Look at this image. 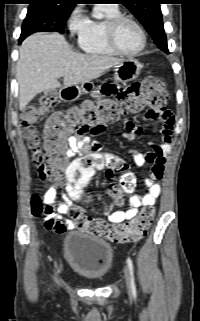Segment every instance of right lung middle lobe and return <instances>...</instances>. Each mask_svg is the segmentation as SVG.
I'll return each instance as SVG.
<instances>
[{"label": "right lung middle lobe", "mask_w": 200, "mask_h": 321, "mask_svg": "<svg viewBox=\"0 0 200 321\" xmlns=\"http://www.w3.org/2000/svg\"><path fill=\"white\" fill-rule=\"evenodd\" d=\"M72 10L58 9L49 5L33 4L28 8L23 21L19 38L21 43L27 36L35 32H64V27Z\"/></svg>", "instance_id": "dd1d6c3e"}]
</instances>
